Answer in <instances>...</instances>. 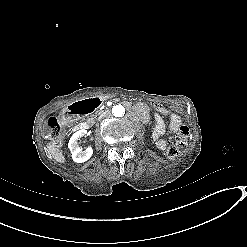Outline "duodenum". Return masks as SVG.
<instances>
[{
	"label": "duodenum",
	"instance_id": "1",
	"mask_svg": "<svg viewBox=\"0 0 247 247\" xmlns=\"http://www.w3.org/2000/svg\"><path fill=\"white\" fill-rule=\"evenodd\" d=\"M102 100L99 97L86 98L72 103L65 111V116L69 119H76L82 115L88 114L99 108ZM89 128L88 122H80L77 124V130H85Z\"/></svg>",
	"mask_w": 247,
	"mask_h": 247
}]
</instances>
